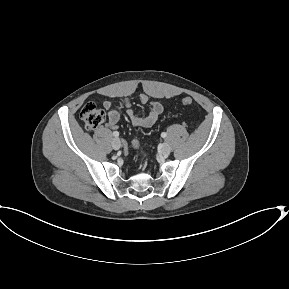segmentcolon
<instances>
[{
  "instance_id": "obj_1",
  "label": "colon",
  "mask_w": 289,
  "mask_h": 289,
  "mask_svg": "<svg viewBox=\"0 0 289 289\" xmlns=\"http://www.w3.org/2000/svg\"><path fill=\"white\" fill-rule=\"evenodd\" d=\"M192 102V98L188 96L182 100V103L185 106H190ZM80 119L87 130H93L104 122L105 114L104 111L98 108L95 103L88 102L81 109ZM133 145L138 148V141L134 140Z\"/></svg>"
}]
</instances>
